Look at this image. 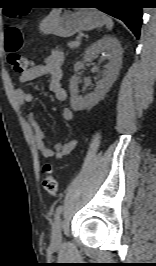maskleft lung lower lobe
<instances>
[{"label":"left lung lower lobe","instance_id":"obj_1","mask_svg":"<svg viewBox=\"0 0 156 266\" xmlns=\"http://www.w3.org/2000/svg\"><path fill=\"white\" fill-rule=\"evenodd\" d=\"M75 6L99 8L101 11L122 20L139 38L142 23L140 0H66Z\"/></svg>","mask_w":156,"mask_h":266}]
</instances>
